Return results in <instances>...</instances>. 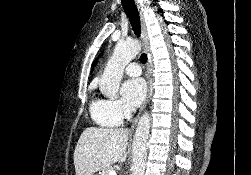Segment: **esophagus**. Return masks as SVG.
<instances>
[{
    "label": "esophagus",
    "mask_w": 251,
    "mask_h": 175,
    "mask_svg": "<svg viewBox=\"0 0 251 175\" xmlns=\"http://www.w3.org/2000/svg\"><path fill=\"white\" fill-rule=\"evenodd\" d=\"M140 25H141V31H142V47H143L144 51L146 53H148L149 52V38H148V32H147V28L145 25V20H144V16H143L142 12H140ZM146 84H147V91L149 92L150 91V75L148 74V72L146 74ZM145 105H146V103H144L142 105L137 116L133 120L132 129L135 128V126L140 118V115H141L143 109L145 108Z\"/></svg>",
    "instance_id": "obj_1"
}]
</instances>
